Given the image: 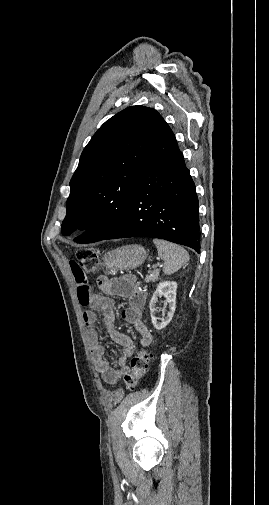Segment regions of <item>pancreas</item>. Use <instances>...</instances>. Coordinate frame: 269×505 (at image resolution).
<instances>
[{
	"mask_svg": "<svg viewBox=\"0 0 269 505\" xmlns=\"http://www.w3.org/2000/svg\"><path fill=\"white\" fill-rule=\"evenodd\" d=\"M159 273H160V270H158V269L150 272V274L145 277L144 281L146 283L156 282L158 280Z\"/></svg>",
	"mask_w": 269,
	"mask_h": 505,
	"instance_id": "cf45deb5",
	"label": "pancreas"
}]
</instances>
